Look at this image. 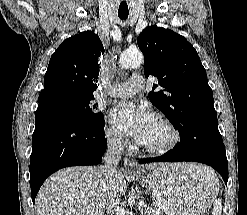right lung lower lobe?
Instances as JSON below:
<instances>
[{
  "label": "right lung lower lobe",
  "mask_w": 247,
  "mask_h": 215,
  "mask_svg": "<svg viewBox=\"0 0 247 215\" xmlns=\"http://www.w3.org/2000/svg\"><path fill=\"white\" fill-rule=\"evenodd\" d=\"M106 147L104 123L91 125L38 108L30 157L32 201L49 175L64 167L99 164Z\"/></svg>",
  "instance_id": "98d812e1"
}]
</instances>
